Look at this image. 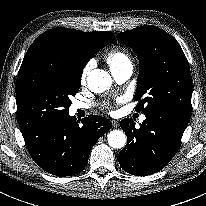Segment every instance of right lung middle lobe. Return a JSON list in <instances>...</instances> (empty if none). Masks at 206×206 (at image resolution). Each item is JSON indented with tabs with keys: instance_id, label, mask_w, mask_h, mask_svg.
<instances>
[{
	"instance_id": "right-lung-middle-lobe-1",
	"label": "right lung middle lobe",
	"mask_w": 206,
	"mask_h": 206,
	"mask_svg": "<svg viewBox=\"0 0 206 206\" xmlns=\"http://www.w3.org/2000/svg\"><path fill=\"white\" fill-rule=\"evenodd\" d=\"M84 67L78 52L66 44L45 40L31 45L16 83L20 130L67 115L69 97L80 88Z\"/></svg>"
}]
</instances>
